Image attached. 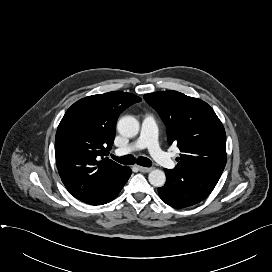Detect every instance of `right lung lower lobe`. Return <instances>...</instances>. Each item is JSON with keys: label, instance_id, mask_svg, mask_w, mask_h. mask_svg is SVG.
<instances>
[{"label": "right lung lower lobe", "instance_id": "98d812e1", "mask_svg": "<svg viewBox=\"0 0 272 272\" xmlns=\"http://www.w3.org/2000/svg\"><path fill=\"white\" fill-rule=\"evenodd\" d=\"M131 176V170L128 167L124 176L117 182L105 187L101 192L89 199H83L81 201L90 205H102L112 201L118 193L121 191L125 183Z\"/></svg>", "mask_w": 272, "mask_h": 272}]
</instances>
